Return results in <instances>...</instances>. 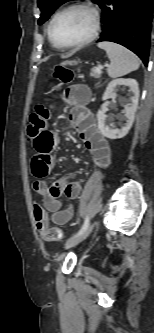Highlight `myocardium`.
I'll return each instance as SVG.
<instances>
[{
	"mask_svg": "<svg viewBox=\"0 0 154 333\" xmlns=\"http://www.w3.org/2000/svg\"><path fill=\"white\" fill-rule=\"evenodd\" d=\"M73 9H81V10H85L86 12L89 13L91 20H92L91 31L87 37H85L84 39H82L80 41H77V42L69 44V45H60L55 41L53 34H52L53 23L61 14L65 13L67 11L73 10ZM100 28H101V19H100V15H99V12L97 11V9L95 7H93L91 4L84 3V2H78V3L69 4L65 7H63L62 9L58 10L50 19L48 27H47V32H48V37H49L50 42L56 48L68 50V49L82 47V46L87 45V44L91 43L92 41H94L100 32Z\"/></svg>",
	"mask_w": 154,
	"mask_h": 333,
	"instance_id": "f54148a6",
	"label": "myocardium"
}]
</instances>
